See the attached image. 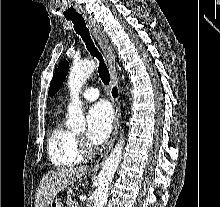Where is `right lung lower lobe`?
<instances>
[{
    "label": "right lung lower lobe",
    "instance_id": "1",
    "mask_svg": "<svg viewBox=\"0 0 220 207\" xmlns=\"http://www.w3.org/2000/svg\"><path fill=\"white\" fill-rule=\"evenodd\" d=\"M112 94H113L114 97L117 96V90L115 88L113 89Z\"/></svg>",
    "mask_w": 220,
    "mask_h": 207
}]
</instances>
